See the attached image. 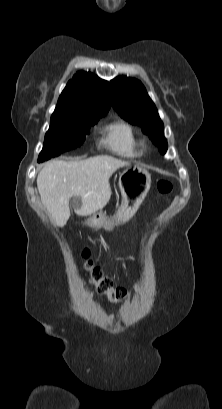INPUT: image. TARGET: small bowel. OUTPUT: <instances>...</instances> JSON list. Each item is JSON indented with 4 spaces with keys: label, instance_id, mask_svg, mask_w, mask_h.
Wrapping results in <instances>:
<instances>
[{
    "label": "small bowel",
    "instance_id": "small-bowel-1",
    "mask_svg": "<svg viewBox=\"0 0 222 409\" xmlns=\"http://www.w3.org/2000/svg\"><path fill=\"white\" fill-rule=\"evenodd\" d=\"M116 319H115V317L113 316V315H110V316H108V321H115Z\"/></svg>",
    "mask_w": 222,
    "mask_h": 409
}]
</instances>
